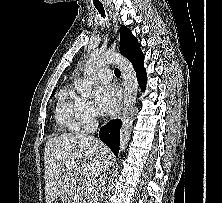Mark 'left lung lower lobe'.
<instances>
[{
	"instance_id": "1",
	"label": "left lung lower lobe",
	"mask_w": 222,
	"mask_h": 203,
	"mask_svg": "<svg viewBox=\"0 0 222 203\" xmlns=\"http://www.w3.org/2000/svg\"><path fill=\"white\" fill-rule=\"evenodd\" d=\"M143 59H144V55L142 54L140 48L136 51V53L132 57L129 58L130 62L133 64L135 68L137 79L142 90H144L146 80H147V75H146V70L144 68Z\"/></svg>"
}]
</instances>
